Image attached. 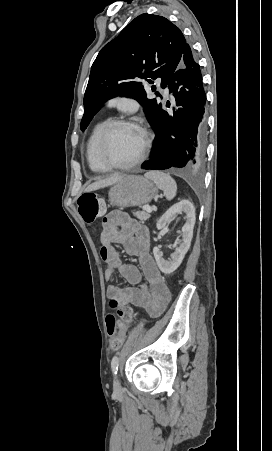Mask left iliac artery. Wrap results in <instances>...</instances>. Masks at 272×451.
Instances as JSON below:
<instances>
[{
    "instance_id": "1",
    "label": "left iliac artery",
    "mask_w": 272,
    "mask_h": 451,
    "mask_svg": "<svg viewBox=\"0 0 272 451\" xmlns=\"http://www.w3.org/2000/svg\"><path fill=\"white\" fill-rule=\"evenodd\" d=\"M118 366H119V359L117 356H114L112 361H111V368L113 373L116 375L117 371H118Z\"/></svg>"
}]
</instances>
